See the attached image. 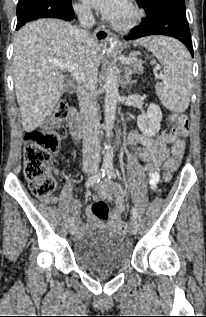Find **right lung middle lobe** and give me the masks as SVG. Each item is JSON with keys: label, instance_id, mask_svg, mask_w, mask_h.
I'll list each match as a JSON object with an SVG mask.
<instances>
[{"label": "right lung middle lobe", "instance_id": "1", "mask_svg": "<svg viewBox=\"0 0 206 317\" xmlns=\"http://www.w3.org/2000/svg\"><path fill=\"white\" fill-rule=\"evenodd\" d=\"M71 0H19L17 5V27L39 18H57L60 9H67Z\"/></svg>", "mask_w": 206, "mask_h": 317}]
</instances>
